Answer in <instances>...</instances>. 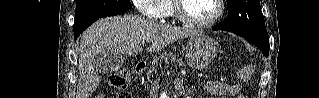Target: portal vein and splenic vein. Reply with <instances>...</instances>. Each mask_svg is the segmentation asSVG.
I'll return each mask as SVG.
<instances>
[{
    "label": "portal vein and splenic vein",
    "mask_w": 319,
    "mask_h": 98,
    "mask_svg": "<svg viewBox=\"0 0 319 98\" xmlns=\"http://www.w3.org/2000/svg\"><path fill=\"white\" fill-rule=\"evenodd\" d=\"M152 40H153L152 38H148L146 41L151 42Z\"/></svg>",
    "instance_id": "1"
}]
</instances>
